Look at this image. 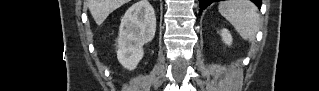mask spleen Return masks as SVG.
Wrapping results in <instances>:
<instances>
[{
    "label": "spleen",
    "instance_id": "3e777b00",
    "mask_svg": "<svg viewBox=\"0 0 319 91\" xmlns=\"http://www.w3.org/2000/svg\"><path fill=\"white\" fill-rule=\"evenodd\" d=\"M218 9L244 40L255 39L260 24V15L252 2L226 0L219 4Z\"/></svg>",
    "mask_w": 319,
    "mask_h": 91
}]
</instances>
